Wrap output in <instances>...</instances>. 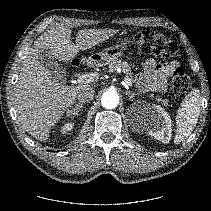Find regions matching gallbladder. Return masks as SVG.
I'll return each mask as SVG.
<instances>
[{"label": "gallbladder", "instance_id": "obj_1", "mask_svg": "<svg viewBox=\"0 0 211 211\" xmlns=\"http://www.w3.org/2000/svg\"><path fill=\"white\" fill-rule=\"evenodd\" d=\"M38 59L45 66L50 76L56 82H64L66 72L63 67L58 63L56 58L52 55L51 51L46 48L38 50Z\"/></svg>", "mask_w": 211, "mask_h": 211}]
</instances>
